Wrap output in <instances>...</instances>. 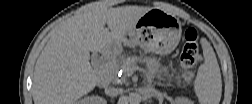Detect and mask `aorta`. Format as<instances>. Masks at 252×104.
<instances>
[{
	"instance_id": "obj_1",
	"label": "aorta",
	"mask_w": 252,
	"mask_h": 104,
	"mask_svg": "<svg viewBox=\"0 0 252 104\" xmlns=\"http://www.w3.org/2000/svg\"><path fill=\"white\" fill-rule=\"evenodd\" d=\"M127 101L130 104H139L141 102V95L137 92L129 93Z\"/></svg>"
}]
</instances>
